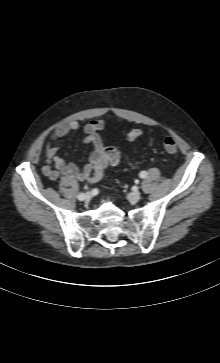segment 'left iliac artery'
Segmentation results:
<instances>
[{
    "label": "left iliac artery",
    "instance_id": "44dca946",
    "mask_svg": "<svg viewBox=\"0 0 220 363\" xmlns=\"http://www.w3.org/2000/svg\"><path fill=\"white\" fill-rule=\"evenodd\" d=\"M140 178H146L147 177V172L146 171H142L139 174Z\"/></svg>",
    "mask_w": 220,
    "mask_h": 363
}]
</instances>
